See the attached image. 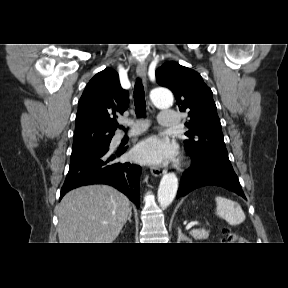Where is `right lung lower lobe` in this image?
Segmentation results:
<instances>
[{
  "label": "right lung lower lobe",
  "mask_w": 288,
  "mask_h": 288,
  "mask_svg": "<svg viewBox=\"0 0 288 288\" xmlns=\"http://www.w3.org/2000/svg\"><path fill=\"white\" fill-rule=\"evenodd\" d=\"M124 150L111 153L109 148L70 162L69 172L61 189L60 200L79 186L99 183L111 185L140 205L139 177L141 167L129 162H115Z\"/></svg>",
  "instance_id": "1"
}]
</instances>
